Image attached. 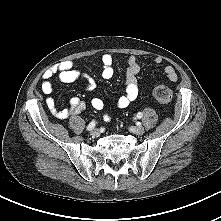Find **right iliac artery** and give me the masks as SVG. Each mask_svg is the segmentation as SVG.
Returning a JSON list of instances; mask_svg holds the SVG:
<instances>
[{
    "label": "right iliac artery",
    "instance_id": "1",
    "mask_svg": "<svg viewBox=\"0 0 221 221\" xmlns=\"http://www.w3.org/2000/svg\"><path fill=\"white\" fill-rule=\"evenodd\" d=\"M96 126V122L92 121L89 123V125L87 126V130L90 131L92 130L94 127Z\"/></svg>",
    "mask_w": 221,
    "mask_h": 221
}]
</instances>
